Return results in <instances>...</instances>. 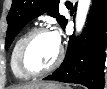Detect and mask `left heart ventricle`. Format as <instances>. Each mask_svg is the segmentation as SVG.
<instances>
[{
  "instance_id": "left-heart-ventricle-1",
  "label": "left heart ventricle",
  "mask_w": 107,
  "mask_h": 89,
  "mask_svg": "<svg viewBox=\"0 0 107 89\" xmlns=\"http://www.w3.org/2000/svg\"><path fill=\"white\" fill-rule=\"evenodd\" d=\"M59 46L52 33L37 35L31 42L27 54L26 64L32 70H39L50 66L56 59Z\"/></svg>"
}]
</instances>
